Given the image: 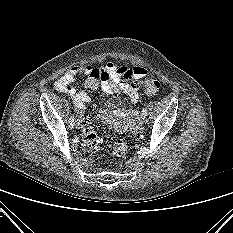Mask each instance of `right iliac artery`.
<instances>
[{
  "label": "right iliac artery",
  "instance_id": "1",
  "mask_svg": "<svg viewBox=\"0 0 233 233\" xmlns=\"http://www.w3.org/2000/svg\"><path fill=\"white\" fill-rule=\"evenodd\" d=\"M74 124H75L74 123V116H71L70 119H69V127L73 128Z\"/></svg>",
  "mask_w": 233,
  "mask_h": 233
}]
</instances>
